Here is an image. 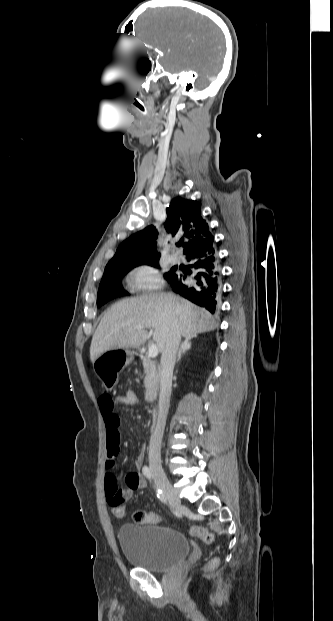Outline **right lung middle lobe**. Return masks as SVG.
<instances>
[{
    "mask_svg": "<svg viewBox=\"0 0 333 621\" xmlns=\"http://www.w3.org/2000/svg\"><path fill=\"white\" fill-rule=\"evenodd\" d=\"M158 259L147 260V261H138L132 263H123L113 266H107L105 268L99 289H98V298H97V306H102L106 302L121 296L128 295V293L122 287V277L128 273L132 268L147 264L154 267H158ZM173 269L170 272L164 274V278L167 279L171 274Z\"/></svg>",
    "mask_w": 333,
    "mask_h": 621,
    "instance_id": "right-lung-middle-lobe-1",
    "label": "right lung middle lobe"
}]
</instances>
